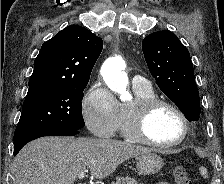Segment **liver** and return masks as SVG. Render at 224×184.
Masks as SVG:
<instances>
[{"label": "liver", "mask_w": 224, "mask_h": 184, "mask_svg": "<svg viewBox=\"0 0 224 184\" xmlns=\"http://www.w3.org/2000/svg\"><path fill=\"white\" fill-rule=\"evenodd\" d=\"M148 152L113 139L42 137L25 145L15 157V184H73L87 167L92 176L103 179L124 161Z\"/></svg>", "instance_id": "6515ba94"}]
</instances>
